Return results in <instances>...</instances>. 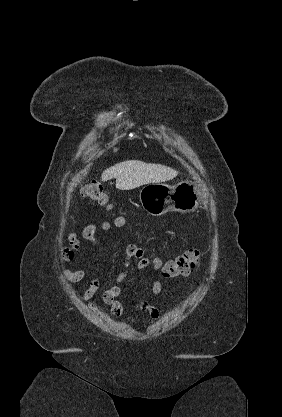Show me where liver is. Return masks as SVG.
I'll return each instance as SVG.
<instances>
[{"instance_id":"1","label":"liver","mask_w":282,"mask_h":417,"mask_svg":"<svg viewBox=\"0 0 282 417\" xmlns=\"http://www.w3.org/2000/svg\"><path fill=\"white\" fill-rule=\"evenodd\" d=\"M177 174L178 170H174L171 166H164V164H151L143 160H124L103 170L101 178L103 182L116 178V188L129 190V188H136L149 182H165V180L175 178Z\"/></svg>"}]
</instances>
